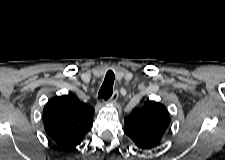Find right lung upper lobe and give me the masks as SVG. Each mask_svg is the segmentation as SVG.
Here are the masks:
<instances>
[{
    "label": "right lung upper lobe",
    "mask_w": 225,
    "mask_h": 160,
    "mask_svg": "<svg viewBox=\"0 0 225 160\" xmlns=\"http://www.w3.org/2000/svg\"><path fill=\"white\" fill-rule=\"evenodd\" d=\"M94 109L72 95L54 97L43 109L47 135L64 150L75 149L91 130Z\"/></svg>",
    "instance_id": "cb5924a9"
}]
</instances>
